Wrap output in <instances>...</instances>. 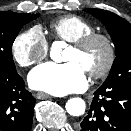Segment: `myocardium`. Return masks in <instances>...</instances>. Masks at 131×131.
Masks as SVG:
<instances>
[{
  "mask_svg": "<svg viewBox=\"0 0 131 131\" xmlns=\"http://www.w3.org/2000/svg\"><path fill=\"white\" fill-rule=\"evenodd\" d=\"M102 43L106 49V57L102 66L88 72L92 79H102L112 70L116 61V45L112 37L102 32H91L71 43V48L78 52H84L95 43Z\"/></svg>",
  "mask_w": 131,
  "mask_h": 131,
  "instance_id": "obj_1",
  "label": "myocardium"
}]
</instances>
